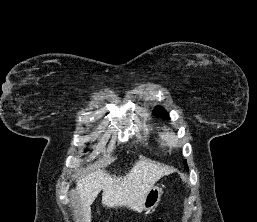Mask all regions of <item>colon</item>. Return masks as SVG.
I'll return each instance as SVG.
<instances>
[{
	"label": "colon",
	"mask_w": 257,
	"mask_h": 222,
	"mask_svg": "<svg viewBox=\"0 0 257 222\" xmlns=\"http://www.w3.org/2000/svg\"><path fill=\"white\" fill-rule=\"evenodd\" d=\"M155 222H164V220H156Z\"/></svg>",
	"instance_id": "1"
}]
</instances>
